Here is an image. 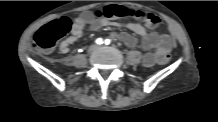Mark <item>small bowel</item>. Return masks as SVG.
Listing matches in <instances>:
<instances>
[{"instance_id": "c3829d8e", "label": "small bowel", "mask_w": 218, "mask_h": 122, "mask_svg": "<svg viewBox=\"0 0 218 122\" xmlns=\"http://www.w3.org/2000/svg\"><path fill=\"white\" fill-rule=\"evenodd\" d=\"M113 24L109 18L97 16L94 12H84L73 20L70 35L61 42L60 52L66 54L74 44L83 35L84 28L89 25L92 31L99 30L102 26ZM120 26V24L115 23ZM132 34L122 32L119 35L111 34L112 38L120 39L126 46L135 47L138 43L136 36L141 37V48L146 51L143 55V64L151 67L160 64V59L164 57L172 48V40L166 33L150 32L148 33L144 26L138 23H128L125 25ZM154 49L153 52L150 50Z\"/></svg>"}]
</instances>
